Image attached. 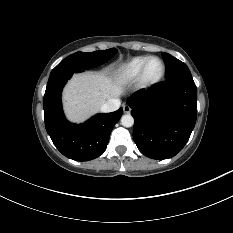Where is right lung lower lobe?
I'll use <instances>...</instances> for the list:
<instances>
[{
	"label": "right lung lower lobe",
	"mask_w": 233,
	"mask_h": 233,
	"mask_svg": "<svg viewBox=\"0 0 233 233\" xmlns=\"http://www.w3.org/2000/svg\"><path fill=\"white\" fill-rule=\"evenodd\" d=\"M80 70L51 73L43 100L45 127L57 149L76 161H89L106 150L110 133L122 115L120 108L112 113H100L83 124L68 122L63 114L61 93L67 80Z\"/></svg>",
	"instance_id": "right-lung-lower-lobe-1"
}]
</instances>
